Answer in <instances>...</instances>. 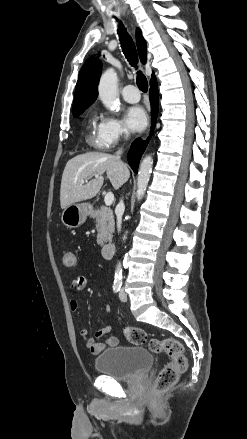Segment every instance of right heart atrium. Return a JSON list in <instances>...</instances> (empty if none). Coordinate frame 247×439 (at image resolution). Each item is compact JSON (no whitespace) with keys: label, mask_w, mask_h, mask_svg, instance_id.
Segmentation results:
<instances>
[{"label":"right heart atrium","mask_w":247,"mask_h":439,"mask_svg":"<svg viewBox=\"0 0 247 439\" xmlns=\"http://www.w3.org/2000/svg\"><path fill=\"white\" fill-rule=\"evenodd\" d=\"M100 136L107 147H111L127 137L128 130L119 119L107 116L100 122Z\"/></svg>","instance_id":"right-heart-atrium-1"}]
</instances>
